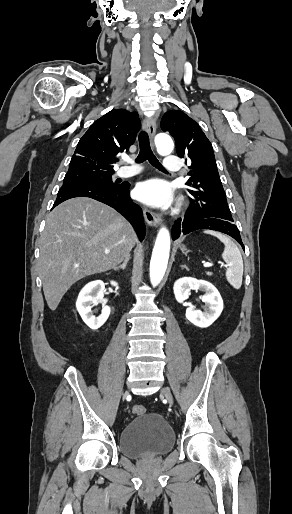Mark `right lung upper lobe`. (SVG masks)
Segmentation results:
<instances>
[{"mask_svg": "<svg viewBox=\"0 0 292 514\" xmlns=\"http://www.w3.org/2000/svg\"><path fill=\"white\" fill-rule=\"evenodd\" d=\"M140 127L136 112L113 109L96 120L77 144L68 172H114L120 152H127Z\"/></svg>", "mask_w": 292, "mask_h": 514, "instance_id": "obj_1", "label": "right lung upper lobe"}]
</instances>
